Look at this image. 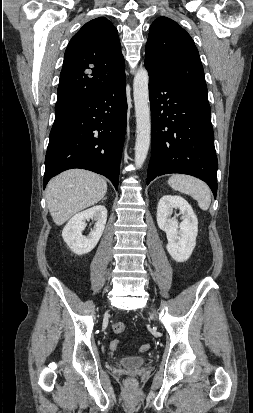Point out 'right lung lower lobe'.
Here are the masks:
<instances>
[{"label":"right lung lower lobe","instance_id":"obj_1","mask_svg":"<svg viewBox=\"0 0 253 413\" xmlns=\"http://www.w3.org/2000/svg\"><path fill=\"white\" fill-rule=\"evenodd\" d=\"M126 117L125 75L100 93L56 111L44 188L60 172L82 168L106 176L117 189Z\"/></svg>","mask_w":253,"mask_h":413}]
</instances>
